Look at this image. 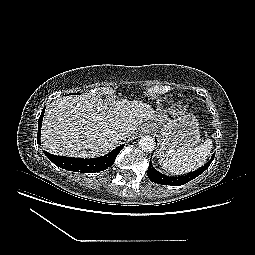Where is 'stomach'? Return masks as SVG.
<instances>
[{
    "mask_svg": "<svg viewBox=\"0 0 255 255\" xmlns=\"http://www.w3.org/2000/svg\"><path fill=\"white\" fill-rule=\"evenodd\" d=\"M156 128L160 138L159 156H176L191 150L200 141L199 124L192 114L169 119Z\"/></svg>",
    "mask_w": 255,
    "mask_h": 255,
    "instance_id": "stomach-1",
    "label": "stomach"
}]
</instances>
